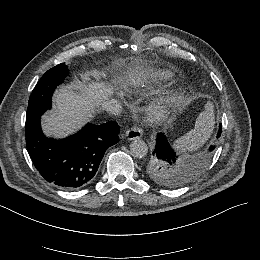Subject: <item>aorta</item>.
<instances>
[{"label":"aorta","instance_id":"1","mask_svg":"<svg viewBox=\"0 0 260 260\" xmlns=\"http://www.w3.org/2000/svg\"><path fill=\"white\" fill-rule=\"evenodd\" d=\"M147 152L148 147L143 140L136 139L130 144V153L135 157L143 158L146 156Z\"/></svg>","mask_w":260,"mask_h":260}]
</instances>
